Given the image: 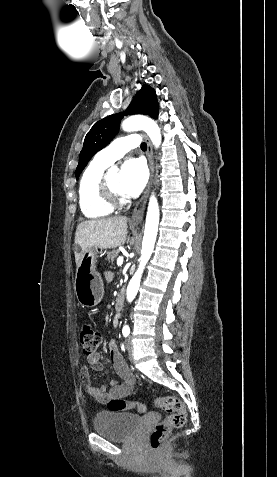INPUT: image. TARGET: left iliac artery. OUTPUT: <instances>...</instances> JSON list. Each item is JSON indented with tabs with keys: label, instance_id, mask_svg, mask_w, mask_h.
<instances>
[{
	"label": "left iliac artery",
	"instance_id": "left-iliac-artery-1",
	"mask_svg": "<svg viewBox=\"0 0 277 477\" xmlns=\"http://www.w3.org/2000/svg\"><path fill=\"white\" fill-rule=\"evenodd\" d=\"M122 332H123V335H124L125 337H127V336L129 335V333H130V330H129L128 328H124V329L122 330Z\"/></svg>",
	"mask_w": 277,
	"mask_h": 477
}]
</instances>
